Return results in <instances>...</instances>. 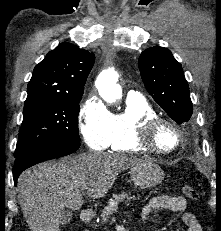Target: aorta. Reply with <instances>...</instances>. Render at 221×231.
Listing matches in <instances>:
<instances>
[{
  "instance_id": "aorta-1",
  "label": "aorta",
  "mask_w": 221,
  "mask_h": 231,
  "mask_svg": "<svg viewBox=\"0 0 221 231\" xmlns=\"http://www.w3.org/2000/svg\"><path fill=\"white\" fill-rule=\"evenodd\" d=\"M118 82V74L114 69L103 71L96 80L100 96L108 103H115L122 97V89Z\"/></svg>"
}]
</instances>
